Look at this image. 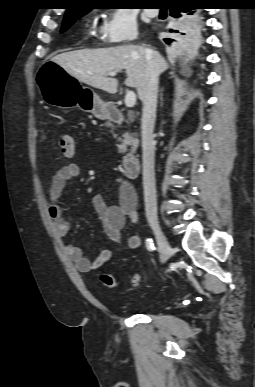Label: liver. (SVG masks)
Instances as JSON below:
<instances>
[{"label": "liver", "mask_w": 255, "mask_h": 387, "mask_svg": "<svg viewBox=\"0 0 255 387\" xmlns=\"http://www.w3.org/2000/svg\"><path fill=\"white\" fill-rule=\"evenodd\" d=\"M158 74L168 69L159 52L151 50ZM52 61L61 66L78 81L110 94L117 93L118 80L107 77L110 72L126 71L125 85L142 89L146 75V48L138 45H121L99 49H82L58 54Z\"/></svg>", "instance_id": "6515ba94"}]
</instances>
